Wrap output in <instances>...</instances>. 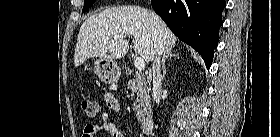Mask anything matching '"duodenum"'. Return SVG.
I'll return each instance as SVG.
<instances>
[{
  "mask_svg": "<svg viewBox=\"0 0 280 137\" xmlns=\"http://www.w3.org/2000/svg\"><path fill=\"white\" fill-rule=\"evenodd\" d=\"M153 127H154V119L149 117L143 121L141 129L144 133L150 134L153 131Z\"/></svg>",
  "mask_w": 280,
  "mask_h": 137,
  "instance_id": "410a0bca",
  "label": "duodenum"
}]
</instances>
